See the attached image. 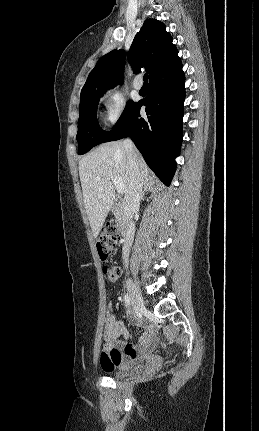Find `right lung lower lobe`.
<instances>
[{
  "mask_svg": "<svg viewBox=\"0 0 259 431\" xmlns=\"http://www.w3.org/2000/svg\"><path fill=\"white\" fill-rule=\"evenodd\" d=\"M180 63L174 69L149 82V92L111 131L104 142L130 136L148 166L170 185L175 173V158L180 153L183 130L185 75ZM146 106L147 118L140 117Z\"/></svg>",
  "mask_w": 259,
  "mask_h": 431,
  "instance_id": "right-lung-lower-lobe-1",
  "label": "right lung lower lobe"
}]
</instances>
